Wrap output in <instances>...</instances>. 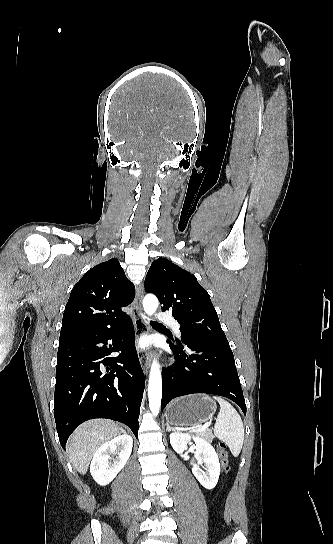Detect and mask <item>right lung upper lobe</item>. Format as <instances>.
<instances>
[{
	"label": "right lung upper lobe",
	"instance_id": "right-lung-upper-lobe-1",
	"mask_svg": "<svg viewBox=\"0 0 333 544\" xmlns=\"http://www.w3.org/2000/svg\"><path fill=\"white\" fill-rule=\"evenodd\" d=\"M134 296L119 261L112 258L84 274L66 304L59 342L117 326L128 315L121 310Z\"/></svg>",
	"mask_w": 333,
	"mask_h": 544
}]
</instances>
